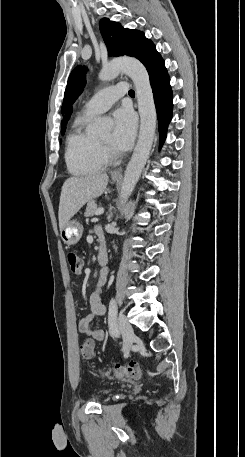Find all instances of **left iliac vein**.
<instances>
[{
    "mask_svg": "<svg viewBox=\"0 0 245 457\" xmlns=\"http://www.w3.org/2000/svg\"><path fill=\"white\" fill-rule=\"evenodd\" d=\"M117 326L125 341V351L128 352V346L133 342V329L125 315L122 313L118 315Z\"/></svg>",
    "mask_w": 245,
    "mask_h": 457,
    "instance_id": "4c4485c4",
    "label": "left iliac vein"
}]
</instances>
